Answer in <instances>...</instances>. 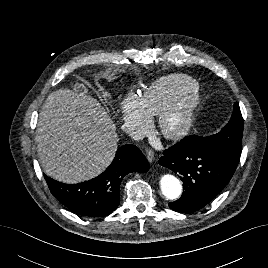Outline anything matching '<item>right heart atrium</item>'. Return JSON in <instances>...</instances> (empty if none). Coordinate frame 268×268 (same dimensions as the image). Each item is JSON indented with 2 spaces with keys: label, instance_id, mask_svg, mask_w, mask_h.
<instances>
[{
  "label": "right heart atrium",
  "instance_id": "obj_1",
  "mask_svg": "<svg viewBox=\"0 0 268 268\" xmlns=\"http://www.w3.org/2000/svg\"><path fill=\"white\" fill-rule=\"evenodd\" d=\"M119 107L124 127L129 130H142L149 124L153 116L142 97L134 93H130L122 99Z\"/></svg>",
  "mask_w": 268,
  "mask_h": 268
}]
</instances>
